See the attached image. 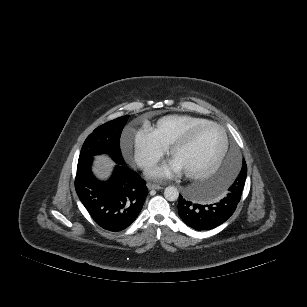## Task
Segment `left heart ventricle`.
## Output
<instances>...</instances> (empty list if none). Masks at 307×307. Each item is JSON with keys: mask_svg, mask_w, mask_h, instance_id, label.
Wrapping results in <instances>:
<instances>
[{"mask_svg": "<svg viewBox=\"0 0 307 307\" xmlns=\"http://www.w3.org/2000/svg\"><path fill=\"white\" fill-rule=\"evenodd\" d=\"M223 144L219 129L213 126L202 129L185 147L179 149L172 157L182 171L196 172L212 165Z\"/></svg>", "mask_w": 307, "mask_h": 307, "instance_id": "left-heart-ventricle-1", "label": "left heart ventricle"}]
</instances>
